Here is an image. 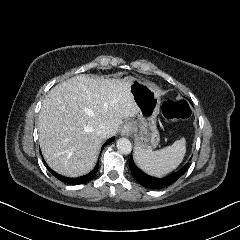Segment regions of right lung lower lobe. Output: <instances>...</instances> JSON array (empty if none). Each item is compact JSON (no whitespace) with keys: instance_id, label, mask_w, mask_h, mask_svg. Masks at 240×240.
Here are the masks:
<instances>
[{"instance_id":"98d812e1","label":"right lung lower lobe","mask_w":240,"mask_h":240,"mask_svg":"<svg viewBox=\"0 0 240 240\" xmlns=\"http://www.w3.org/2000/svg\"><path fill=\"white\" fill-rule=\"evenodd\" d=\"M114 137L110 138L109 140H107V142L103 145L106 146L107 144L111 143L114 141ZM102 147V149H103ZM98 167H99V164L96 165V167L87 175H84V176H81V177H78V178H68V177H64L56 172H54L48 165H47V168L48 170L57 178L59 179L60 181L64 182V183H67V184H83V183H86L88 181H90L97 173L98 171Z\"/></svg>"}]
</instances>
